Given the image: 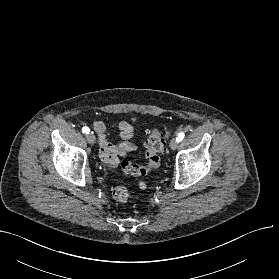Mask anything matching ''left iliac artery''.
<instances>
[{
    "instance_id": "left-iliac-artery-1",
    "label": "left iliac artery",
    "mask_w": 279,
    "mask_h": 279,
    "mask_svg": "<svg viewBox=\"0 0 279 279\" xmlns=\"http://www.w3.org/2000/svg\"><path fill=\"white\" fill-rule=\"evenodd\" d=\"M185 134L183 132L179 133L176 140L177 142H181L184 138Z\"/></svg>"
}]
</instances>
